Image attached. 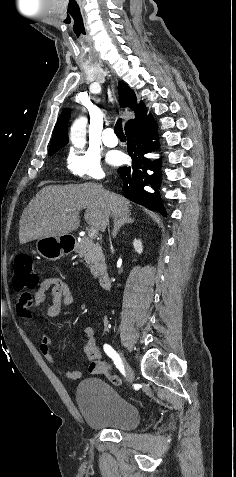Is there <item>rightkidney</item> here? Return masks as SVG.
I'll return each mask as SVG.
<instances>
[{
	"instance_id": "obj_1",
	"label": "right kidney",
	"mask_w": 236,
	"mask_h": 477,
	"mask_svg": "<svg viewBox=\"0 0 236 477\" xmlns=\"http://www.w3.org/2000/svg\"><path fill=\"white\" fill-rule=\"evenodd\" d=\"M133 246H134L135 250L137 251V253H139V254L142 253L143 246H142L141 240L135 239L134 242H133Z\"/></svg>"
}]
</instances>
